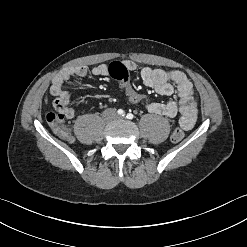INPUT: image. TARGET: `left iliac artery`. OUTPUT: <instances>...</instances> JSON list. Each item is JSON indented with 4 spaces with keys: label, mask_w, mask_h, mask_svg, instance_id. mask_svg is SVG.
Segmentation results:
<instances>
[{
    "label": "left iliac artery",
    "mask_w": 247,
    "mask_h": 247,
    "mask_svg": "<svg viewBox=\"0 0 247 247\" xmlns=\"http://www.w3.org/2000/svg\"><path fill=\"white\" fill-rule=\"evenodd\" d=\"M128 119H133L134 118V115L132 113H128L127 116H126Z\"/></svg>",
    "instance_id": "left-iliac-artery-1"
}]
</instances>
